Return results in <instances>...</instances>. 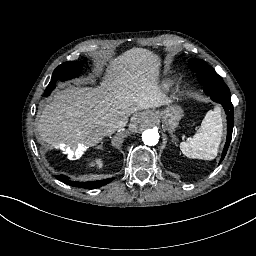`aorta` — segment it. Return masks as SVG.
<instances>
[{
	"label": "aorta",
	"instance_id": "762f6f07",
	"mask_svg": "<svg viewBox=\"0 0 256 256\" xmlns=\"http://www.w3.org/2000/svg\"><path fill=\"white\" fill-rule=\"evenodd\" d=\"M142 140L145 145L153 146L158 144L160 140V134L159 131L155 128L146 129L142 133Z\"/></svg>",
	"mask_w": 256,
	"mask_h": 256
}]
</instances>
